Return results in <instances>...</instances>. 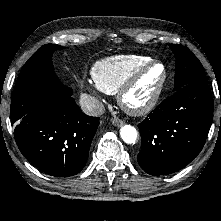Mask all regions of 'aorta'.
Here are the masks:
<instances>
[{
    "instance_id": "1",
    "label": "aorta",
    "mask_w": 221,
    "mask_h": 221,
    "mask_svg": "<svg viewBox=\"0 0 221 221\" xmlns=\"http://www.w3.org/2000/svg\"><path fill=\"white\" fill-rule=\"evenodd\" d=\"M120 136L127 144H135L137 139V130L131 125H124L120 129Z\"/></svg>"
}]
</instances>
